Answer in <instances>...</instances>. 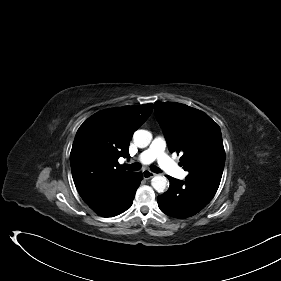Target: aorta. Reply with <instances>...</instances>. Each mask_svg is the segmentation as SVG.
Here are the masks:
<instances>
[{"instance_id": "aorta-1", "label": "aorta", "mask_w": 281, "mask_h": 281, "mask_svg": "<svg viewBox=\"0 0 281 281\" xmlns=\"http://www.w3.org/2000/svg\"><path fill=\"white\" fill-rule=\"evenodd\" d=\"M133 139L139 148H145L150 144L152 134L147 130H137L133 135ZM151 185L157 192H164L167 187V179L164 176L157 175L152 178Z\"/></svg>"}]
</instances>
